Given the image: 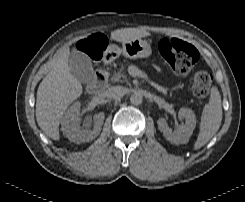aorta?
<instances>
[{"mask_svg":"<svg viewBox=\"0 0 245 202\" xmlns=\"http://www.w3.org/2000/svg\"><path fill=\"white\" fill-rule=\"evenodd\" d=\"M143 101V97L141 93L135 92L130 97V102L133 105H140Z\"/></svg>","mask_w":245,"mask_h":202,"instance_id":"obj_1","label":"aorta"}]
</instances>
